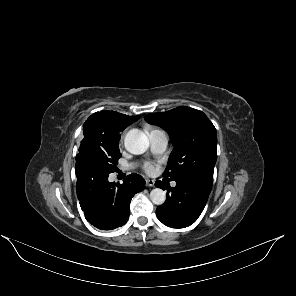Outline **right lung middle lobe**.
I'll use <instances>...</instances> for the list:
<instances>
[{
  "label": "right lung middle lobe",
  "mask_w": 296,
  "mask_h": 296,
  "mask_svg": "<svg viewBox=\"0 0 296 296\" xmlns=\"http://www.w3.org/2000/svg\"><path fill=\"white\" fill-rule=\"evenodd\" d=\"M120 137V134H113L106 138L84 137L79 153L96 159L108 173L114 172L121 157L118 146Z\"/></svg>",
  "instance_id": "1"
}]
</instances>
